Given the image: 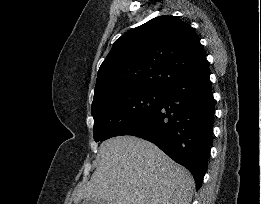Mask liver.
Here are the masks:
<instances>
[{"instance_id": "obj_1", "label": "liver", "mask_w": 261, "mask_h": 204, "mask_svg": "<svg viewBox=\"0 0 261 204\" xmlns=\"http://www.w3.org/2000/svg\"><path fill=\"white\" fill-rule=\"evenodd\" d=\"M98 165L87 183L78 184L73 201L102 199L107 204H190L191 173L153 143L134 136L104 141Z\"/></svg>"}]
</instances>
